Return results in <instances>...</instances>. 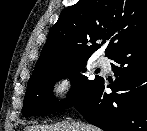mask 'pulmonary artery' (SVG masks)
Wrapping results in <instances>:
<instances>
[{
  "mask_svg": "<svg viewBox=\"0 0 147 131\" xmlns=\"http://www.w3.org/2000/svg\"><path fill=\"white\" fill-rule=\"evenodd\" d=\"M96 64L99 66V67H105L106 65H108V59L101 56L97 59L96 61Z\"/></svg>",
  "mask_w": 147,
  "mask_h": 131,
  "instance_id": "obj_1",
  "label": "pulmonary artery"
}]
</instances>
